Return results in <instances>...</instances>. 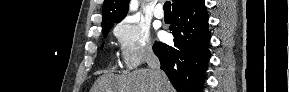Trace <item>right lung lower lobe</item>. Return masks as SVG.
I'll list each match as a JSON object with an SVG mask.
<instances>
[{"label":"right lung lower lobe","mask_w":289,"mask_h":92,"mask_svg":"<svg viewBox=\"0 0 289 92\" xmlns=\"http://www.w3.org/2000/svg\"><path fill=\"white\" fill-rule=\"evenodd\" d=\"M204 0L172 11L174 47L155 42L153 51L177 92H202L209 61L210 32Z\"/></svg>","instance_id":"1"}]
</instances>
